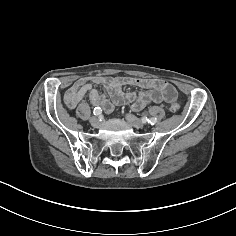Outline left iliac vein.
I'll list each match as a JSON object with an SVG mask.
<instances>
[{
	"label": "left iliac vein",
	"mask_w": 236,
	"mask_h": 236,
	"mask_svg": "<svg viewBox=\"0 0 236 236\" xmlns=\"http://www.w3.org/2000/svg\"><path fill=\"white\" fill-rule=\"evenodd\" d=\"M125 118L127 122L135 128L139 129L144 126L143 122L132 114H126Z\"/></svg>",
	"instance_id": "1"
}]
</instances>
